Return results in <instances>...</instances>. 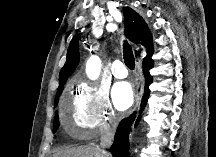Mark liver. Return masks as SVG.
Listing matches in <instances>:
<instances>
[{
  "mask_svg": "<svg viewBox=\"0 0 216 157\" xmlns=\"http://www.w3.org/2000/svg\"><path fill=\"white\" fill-rule=\"evenodd\" d=\"M107 153V152H106ZM110 154L107 153V156L102 152L101 149L96 147L84 146L78 148H71L59 151L54 154L53 157H109Z\"/></svg>",
  "mask_w": 216,
  "mask_h": 157,
  "instance_id": "1",
  "label": "liver"
}]
</instances>
